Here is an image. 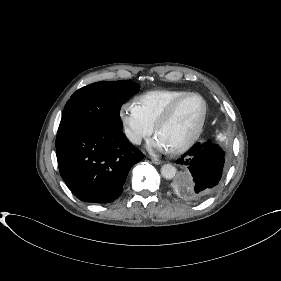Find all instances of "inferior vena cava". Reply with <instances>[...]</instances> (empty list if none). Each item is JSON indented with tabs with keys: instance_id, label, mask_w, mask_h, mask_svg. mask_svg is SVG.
<instances>
[{
	"instance_id": "inferior-vena-cava-1",
	"label": "inferior vena cava",
	"mask_w": 281,
	"mask_h": 281,
	"mask_svg": "<svg viewBox=\"0 0 281 281\" xmlns=\"http://www.w3.org/2000/svg\"><path fill=\"white\" fill-rule=\"evenodd\" d=\"M126 135L128 139L134 143V144H140L141 143V137L135 133H132L130 131L126 132Z\"/></svg>"
}]
</instances>
